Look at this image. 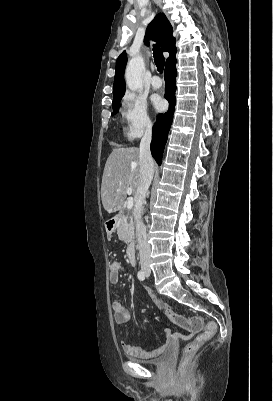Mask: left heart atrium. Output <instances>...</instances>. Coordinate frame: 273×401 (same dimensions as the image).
<instances>
[{
	"mask_svg": "<svg viewBox=\"0 0 273 401\" xmlns=\"http://www.w3.org/2000/svg\"><path fill=\"white\" fill-rule=\"evenodd\" d=\"M153 105L157 110L163 111L166 108V103L160 98L153 99Z\"/></svg>",
	"mask_w": 273,
	"mask_h": 401,
	"instance_id": "left-heart-atrium-1",
	"label": "left heart atrium"
}]
</instances>
